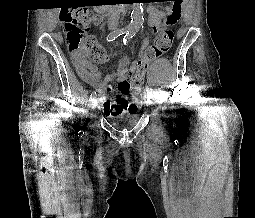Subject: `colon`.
Segmentation results:
<instances>
[{
  "mask_svg": "<svg viewBox=\"0 0 255 218\" xmlns=\"http://www.w3.org/2000/svg\"><path fill=\"white\" fill-rule=\"evenodd\" d=\"M165 1H171L173 3L172 5L174 10L166 18V25L173 26L176 24L181 14V10L178 6L181 0ZM60 18L64 23L68 50L71 54L75 67L79 75L86 78L88 75L84 65V57L81 53V48L90 43L88 33L91 27L97 22V18L90 10L84 7L64 9L61 11ZM173 38V31L169 28L163 29L158 34L154 44L147 49L144 58L139 61L137 65V73L132 76L129 82H125L118 86L115 96H119L123 93L125 98L122 102L116 101L112 106L111 100L106 98L104 105L108 110V113L112 114L136 111L137 108L132 101V96L139 94L141 90L144 73L147 69L148 63L167 52L172 45Z\"/></svg>",
  "mask_w": 255,
  "mask_h": 218,
  "instance_id": "1",
  "label": "colon"
}]
</instances>
